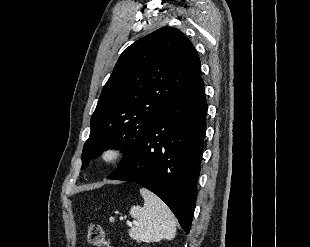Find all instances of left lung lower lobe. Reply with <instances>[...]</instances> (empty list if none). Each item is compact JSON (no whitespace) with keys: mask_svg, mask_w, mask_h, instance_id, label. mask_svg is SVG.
I'll use <instances>...</instances> for the list:
<instances>
[{"mask_svg":"<svg viewBox=\"0 0 310 247\" xmlns=\"http://www.w3.org/2000/svg\"><path fill=\"white\" fill-rule=\"evenodd\" d=\"M206 114L199 75L153 123L134 155L107 177L136 182L155 193L187 233L196 205Z\"/></svg>","mask_w":310,"mask_h":247,"instance_id":"0a47b994","label":"left lung lower lobe"}]
</instances>
